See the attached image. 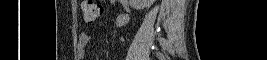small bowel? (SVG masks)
<instances>
[{"mask_svg": "<svg viewBox=\"0 0 267 60\" xmlns=\"http://www.w3.org/2000/svg\"><path fill=\"white\" fill-rule=\"evenodd\" d=\"M118 3H120L126 10L128 9V4L127 1L121 0V1H117ZM130 20V16L127 13H123L120 14L117 18V24L122 26L125 25L126 23H128ZM91 34L89 33H82L79 36V40L81 44H85L87 43L90 39H91Z\"/></svg>", "mask_w": 267, "mask_h": 60, "instance_id": "small-bowel-1", "label": "small bowel"}]
</instances>
